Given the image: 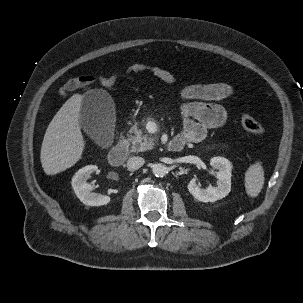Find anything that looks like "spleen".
<instances>
[{
    "mask_svg": "<svg viewBox=\"0 0 303 303\" xmlns=\"http://www.w3.org/2000/svg\"><path fill=\"white\" fill-rule=\"evenodd\" d=\"M264 170L260 162L251 165L245 172V188L250 197H256L264 185Z\"/></svg>",
    "mask_w": 303,
    "mask_h": 303,
    "instance_id": "3e777b00",
    "label": "spleen"
}]
</instances>
